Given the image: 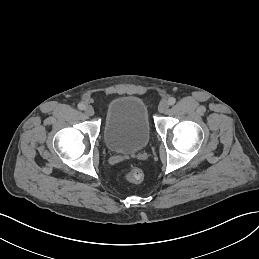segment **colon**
I'll list each match as a JSON object with an SVG mask.
<instances>
[{"label":"colon","instance_id":"1","mask_svg":"<svg viewBox=\"0 0 259 259\" xmlns=\"http://www.w3.org/2000/svg\"><path fill=\"white\" fill-rule=\"evenodd\" d=\"M126 179L131 183H139L143 179V172L138 167H132L127 172Z\"/></svg>","mask_w":259,"mask_h":259}]
</instances>
